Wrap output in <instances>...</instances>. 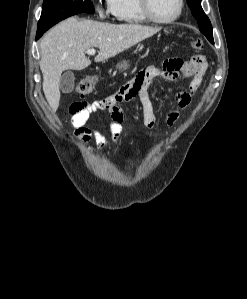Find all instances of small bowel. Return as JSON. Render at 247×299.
<instances>
[{
  "label": "small bowel",
  "instance_id": "1",
  "mask_svg": "<svg viewBox=\"0 0 247 299\" xmlns=\"http://www.w3.org/2000/svg\"><path fill=\"white\" fill-rule=\"evenodd\" d=\"M206 70V61L203 56H195L188 61L169 59L163 67H148L139 72L133 79L123 84L114 94L96 101H80L70 106L71 126L75 135L83 142L93 140L96 145L106 150L111 145L120 142L122 136L123 112L120 104L127 103L138 98L144 125L153 129L157 125L153 104L149 90L154 86L155 79L162 77L168 81H174L179 76L189 79L188 91L178 92L173 95L175 107L166 112L168 126H173L179 117L178 109H186L201 85L202 77ZM97 111H105L108 114L109 128L112 140L109 141L95 127L89 124L91 115Z\"/></svg>",
  "mask_w": 247,
  "mask_h": 299
}]
</instances>
